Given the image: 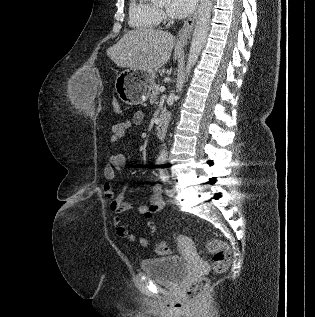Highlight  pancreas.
<instances>
[{
  "instance_id": "obj_1",
  "label": "pancreas",
  "mask_w": 315,
  "mask_h": 317,
  "mask_svg": "<svg viewBox=\"0 0 315 317\" xmlns=\"http://www.w3.org/2000/svg\"><path fill=\"white\" fill-rule=\"evenodd\" d=\"M159 95V86L157 84H154L152 86L151 92H150V103L154 104L156 103V100L158 99Z\"/></svg>"
}]
</instances>
